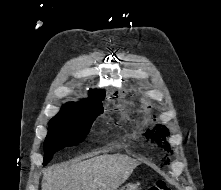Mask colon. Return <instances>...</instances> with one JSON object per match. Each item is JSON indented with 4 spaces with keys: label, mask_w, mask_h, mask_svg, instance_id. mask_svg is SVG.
<instances>
[{
    "label": "colon",
    "mask_w": 221,
    "mask_h": 190,
    "mask_svg": "<svg viewBox=\"0 0 221 190\" xmlns=\"http://www.w3.org/2000/svg\"><path fill=\"white\" fill-rule=\"evenodd\" d=\"M148 190H170V188L165 181L158 180Z\"/></svg>",
    "instance_id": "colon-1"
}]
</instances>
